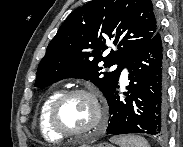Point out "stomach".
I'll return each mask as SVG.
<instances>
[{
  "instance_id": "stomach-1",
  "label": "stomach",
  "mask_w": 183,
  "mask_h": 147,
  "mask_svg": "<svg viewBox=\"0 0 183 147\" xmlns=\"http://www.w3.org/2000/svg\"><path fill=\"white\" fill-rule=\"evenodd\" d=\"M93 147H113L112 145L108 144V143H100V144H97Z\"/></svg>"
}]
</instances>
